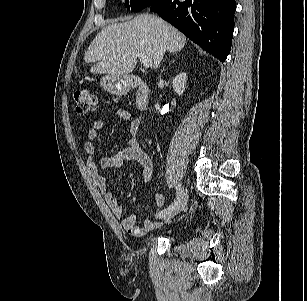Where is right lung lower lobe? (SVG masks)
<instances>
[{
  "mask_svg": "<svg viewBox=\"0 0 307 301\" xmlns=\"http://www.w3.org/2000/svg\"><path fill=\"white\" fill-rule=\"evenodd\" d=\"M235 0H158L150 11L224 62L234 31Z\"/></svg>",
  "mask_w": 307,
  "mask_h": 301,
  "instance_id": "right-lung-lower-lobe-1",
  "label": "right lung lower lobe"
}]
</instances>
